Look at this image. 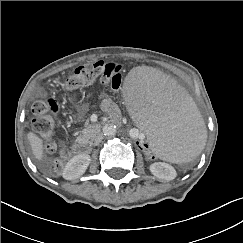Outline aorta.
<instances>
[{
	"instance_id": "1",
	"label": "aorta",
	"mask_w": 243,
	"mask_h": 243,
	"mask_svg": "<svg viewBox=\"0 0 243 243\" xmlns=\"http://www.w3.org/2000/svg\"><path fill=\"white\" fill-rule=\"evenodd\" d=\"M103 133L105 136L112 137L117 133V126L115 124H106L103 127Z\"/></svg>"
}]
</instances>
